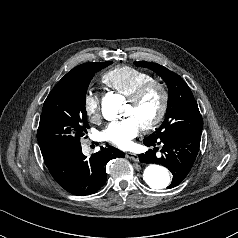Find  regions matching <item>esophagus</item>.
I'll return each instance as SVG.
<instances>
[{"label": "esophagus", "instance_id": "obj_1", "mask_svg": "<svg viewBox=\"0 0 238 238\" xmlns=\"http://www.w3.org/2000/svg\"><path fill=\"white\" fill-rule=\"evenodd\" d=\"M125 156H126V158L132 159L134 161L139 160L138 155L135 153H132V152H126Z\"/></svg>", "mask_w": 238, "mask_h": 238}]
</instances>
